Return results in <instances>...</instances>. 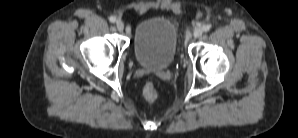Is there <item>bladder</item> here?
<instances>
[{
	"label": "bladder",
	"mask_w": 298,
	"mask_h": 138,
	"mask_svg": "<svg viewBox=\"0 0 298 138\" xmlns=\"http://www.w3.org/2000/svg\"><path fill=\"white\" fill-rule=\"evenodd\" d=\"M178 31L165 17H152L139 22L133 32V53L142 67L166 69L173 62Z\"/></svg>",
	"instance_id": "obj_1"
}]
</instances>
